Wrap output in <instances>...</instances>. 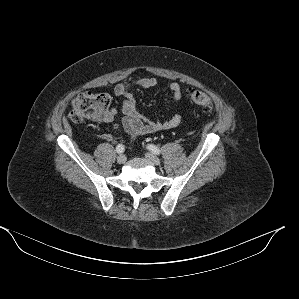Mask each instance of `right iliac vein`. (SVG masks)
<instances>
[{
    "instance_id": "63e3f726",
    "label": "right iliac vein",
    "mask_w": 299,
    "mask_h": 299,
    "mask_svg": "<svg viewBox=\"0 0 299 299\" xmlns=\"http://www.w3.org/2000/svg\"><path fill=\"white\" fill-rule=\"evenodd\" d=\"M117 162H118L119 164H124V163L126 162V156H125V155H120V156H118V158H117Z\"/></svg>"
}]
</instances>
